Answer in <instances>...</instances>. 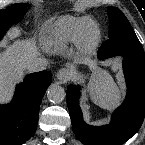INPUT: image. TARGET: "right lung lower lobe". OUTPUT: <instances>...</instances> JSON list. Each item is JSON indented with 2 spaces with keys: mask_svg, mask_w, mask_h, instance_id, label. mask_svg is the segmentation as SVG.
I'll list each match as a JSON object with an SVG mask.
<instances>
[{
  "mask_svg": "<svg viewBox=\"0 0 145 145\" xmlns=\"http://www.w3.org/2000/svg\"><path fill=\"white\" fill-rule=\"evenodd\" d=\"M50 84V71L32 73L17 86L13 101L0 105V145H22L33 136L41 100Z\"/></svg>",
  "mask_w": 145,
  "mask_h": 145,
  "instance_id": "98d812e1",
  "label": "right lung lower lobe"
}]
</instances>
